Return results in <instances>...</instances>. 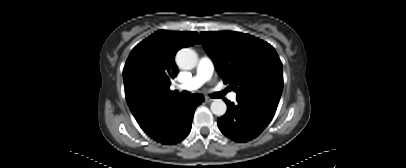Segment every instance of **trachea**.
Listing matches in <instances>:
<instances>
[{
    "mask_svg": "<svg viewBox=\"0 0 406 168\" xmlns=\"http://www.w3.org/2000/svg\"><path fill=\"white\" fill-rule=\"evenodd\" d=\"M225 91L223 92H217L215 94L212 95L213 98H221L222 96H224Z\"/></svg>",
    "mask_w": 406,
    "mask_h": 168,
    "instance_id": "3493384b",
    "label": "trachea"
}]
</instances>
